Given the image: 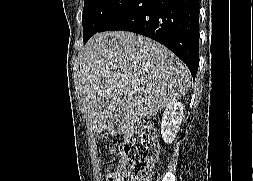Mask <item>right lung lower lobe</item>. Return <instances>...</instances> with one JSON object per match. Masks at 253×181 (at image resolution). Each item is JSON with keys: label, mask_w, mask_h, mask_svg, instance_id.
<instances>
[{"label": "right lung lower lobe", "mask_w": 253, "mask_h": 181, "mask_svg": "<svg viewBox=\"0 0 253 181\" xmlns=\"http://www.w3.org/2000/svg\"><path fill=\"white\" fill-rule=\"evenodd\" d=\"M199 0H129L101 29L126 30L169 48L189 68L199 65ZM96 32L83 36L86 42Z\"/></svg>", "instance_id": "1"}]
</instances>
